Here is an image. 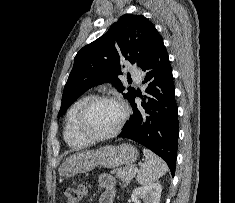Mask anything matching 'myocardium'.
<instances>
[{
	"instance_id": "1",
	"label": "myocardium",
	"mask_w": 235,
	"mask_h": 203,
	"mask_svg": "<svg viewBox=\"0 0 235 203\" xmlns=\"http://www.w3.org/2000/svg\"><path fill=\"white\" fill-rule=\"evenodd\" d=\"M102 101H110V102H115L119 104L122 108V116L121 119L118 123V125L109 133L102 134V135H94L86 132L83 128V123L85 120V117L88 113V111L98 102ZM130 116V109L128 105L120 98H117L115 96L111 95H96L92 96L90 99H88L83 106L80 108L76 121H75V130L79 136L84 138L85 140L89 142H99L103 140L110 139L112 137H115L117 134L121 132L123 129L124 125L126 124L128 118Z\"/></svg>"
}]
</instances>
